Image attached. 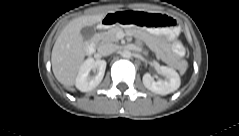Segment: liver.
I'll list each match as a JSON object with an SVG mask.
<instances>
[{"mask_svg":"<svg viewBox=\"0 0 239 136\" xmlns=\"http://www.w3.org/2000/svg\"><path fill=\"white\" fill-rule=\"evenodd\" d=\"M105 17V14L81 16L71 20L58 36L51 55L52 70L56 79L65 87H71L82 65L88 49L81 29L92 26Z\"/></svg>","mask_w":239,"mask_h":136,"instance_id":"liver-1","label":"liver"}]
</instances>
